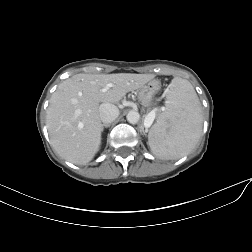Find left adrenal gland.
Returning a JSON list of instances; mask_svg holds the SVG:
<instances>
[{
    "instance_id": "1",
    "label": "left adrenal gland",
    "mask_w": 252,
    "mask_h": 252,
    "mask_svg": "<svg viewBox=\"0 0 252 252\" xmlns=\"http://www.w3.org/2000/svg\"><path fill=\"white\" fill-rule=\"evenodd\" d=\"M143 133L146 135V132L144 131V129H143Z\"/></svg>"
}]
</instances>
